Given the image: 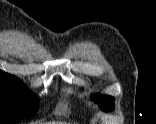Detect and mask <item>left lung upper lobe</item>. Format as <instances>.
Instances as JSON below:
<instances>
[{"mask_svg":"<svg viewBox=\"0 0 156 124\" xmlns=\"http://www.w3.org/2000/svg\"><path fill=\"white\" fill-rule=\"evenodd\" d=\"M94 100L98 103L103 111H112L114 109V98L111 96H94Z\"/></svg>","mask_w":156,"mask_h":124,"instance_id":"1","label":"left lung upper lobe"}]
</instances>
